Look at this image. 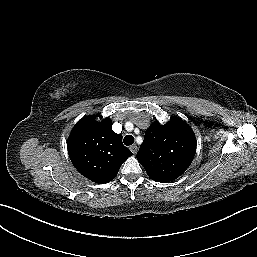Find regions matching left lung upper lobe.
I'll use <instances>...</instances> for the list:
<instances>
[{"label": "left lung upper lobe", "instance_id": "obj_1", "mask_svg": "<svg viewBox=\"0 0 257 257\" xmlns=\"http://www.w3.org/2000/svg\"><path fill=\"white\" fill-rule=\"evenodd\" d=\"M196 145L192 128L174 117L164 125L155 122L146 130L137 160L153 180L173 181L191 164Z\"/></svg>", "mask_w": 257, "mask_h": 257}]
</instances>
